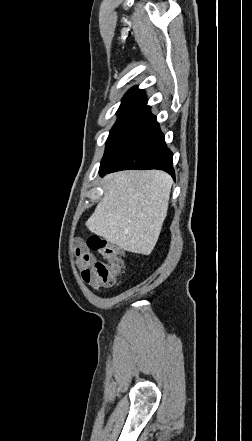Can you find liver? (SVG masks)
Segmentation results:
<instances>
[{
  "instance_id": "1",
  "label": "liver",
  "mask_w": 252,
  "mask_h": 441,
  "mask_svg": "<svg viewBox=\"0 0 252 441\" xmlns=\"http://www.w3.org/2000/svg\"><path fill=\"white\" fill-rule=\"evenodd\" d=\"M172 184L171 176L160 170L109 174L86 226L123 250L149 255L167 216Z\"/></svg>"
}]
</instances>
